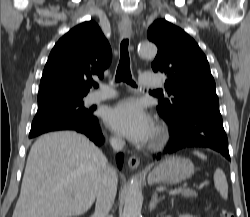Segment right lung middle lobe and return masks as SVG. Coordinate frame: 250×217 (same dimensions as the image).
Listing matches in <instances>:
<instances>
[{
  "label": "right lung middle lobe",
  "mask_w": 250,
  "mask_h": 217,
  "mask_svg": "<svg viewBox=\"0 0 250 217\" xmlns=\"http://www.w3.org/2000/svg\"><path fill=\"white\" fill-rule=\"evenodd\" d=\"M96 119L93 110L84 107L82 99L54 103L38 108L29 138L49 131L89 127Z\"/></svg>",
  "instance_id": "dd1d6c3e"
}]
</instances>
